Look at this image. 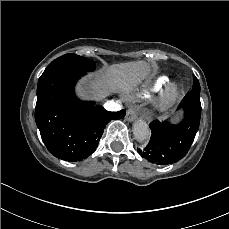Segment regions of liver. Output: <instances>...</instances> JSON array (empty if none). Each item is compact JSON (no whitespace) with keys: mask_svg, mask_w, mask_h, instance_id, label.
Returning a JSON list of instances; mask_svg holds the SVG:
<instances>
[{"mask_svg":"<svg viewBox=\"0 0 229 229\" xmlns=\"http://www.w3.org/2000/svg\"><path fill=\"white\" fill-rule=\"evenodd\" d=\"M148 71L149 67L144 62L115 64L101 78L94 76L95 82L86 80L81 85V91L89 96L104 98L111 92L128 88L147 75Z\"/></svg>","mask_w":229,"mask_h":229,"instance_id":"6515ba94","label":"liver"}]
</instances>
